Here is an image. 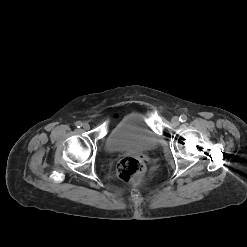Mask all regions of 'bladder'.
<instances>
[{
    "label": "bladder",
    "mask_w": 247,
    "mask_h": 247,
    "mask_svg": "<svg viewBox=\"0 0 247 247\" xmlns=\"http://www.w3.org/2000/svg\"><path fill=\"white\" fill-rule=\"evenodd\" d=\"M157 145V136L137 112L123 117L107 136L105 147L109 152L125 150L149 151Z\"/></svg>",
    "instance_id": "bladder-1"
}]
</instances>
